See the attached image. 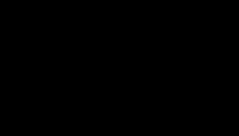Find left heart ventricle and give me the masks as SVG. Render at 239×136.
<instances>
[{
	"instance_id": "left-heart-ventricle-1",
	"label": "left heart ventricle",
	"mask_w": 239,
	"mask_h": 136,
	"mask_svg": "<svg viewBox=\"0 0 239 136\" xmlns=\"http://www.w3.org/2000/svg\"><path fill=\"white\" fill-rule=\"evenodd\" d=\"M175 30L173 28H165L159 34L157 41L161 47H165L169 44V40L174 35Z\"/></svg>"
}]
</instances>
